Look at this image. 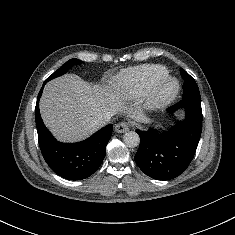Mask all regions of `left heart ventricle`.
I'll list each match as a JSON object with an SVG mask.
<instances>
[{
  "instance_id": "b2bd125f",
  "label": "left heart ventricle",
  "mask_w": 235,
  "mask_h": 235,
  "mask_svg": "<svg viewBox=\"0 0 235 235\" xmlns=\"http://www.w3.org/2000/svg\"><path fill=\"white\" fill-rule=\"evenodd\" d=\"M171 89V85H167V86H164L161 90L162 93H167L169 92Z\"/></svg>"
}]
</instances>
